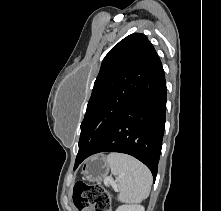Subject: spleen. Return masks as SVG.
I'll return each instance as SVG.
<instances>
[{"label":"spleen","instance_id":"3e777b00","mask_svg":"<svg viewBox=\"0 0 221 211\" xmlns=\"http://www.w3.org/2000/svg\"><path fill=\"white\" fill-rule=\"evenodd\" d=\"M111 174L117 176L118 200L140 203L149 196L152 184L150 170L126 154L111 153L106 157Z\"/></svg>","mask_w":221,"mask_h":211}]
</instances>
